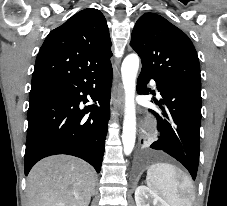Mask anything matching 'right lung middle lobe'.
<instances>
[{"instance_id":"obj_1","label":"right lung middle lobe","mask_w":227,"mask_h":206,"mask_svg":"<svg viewBox=\"0 0 227 206\" xmlns=\"http://www.w3.org/2000/svg\"><path fill=\"white\" fill-rule=\"evenodd\" d=\"M56 82H39V83H34L31 86V91L30 94L41 91V90H46V89H51L54 87Z\"/></svg>"}]
</instances>
